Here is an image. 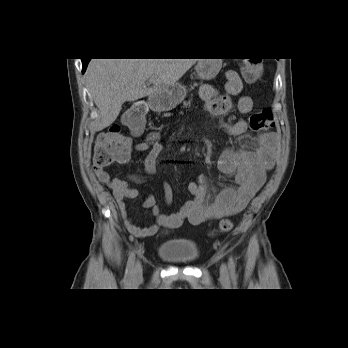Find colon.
<instances>
[{
    "label": "colon",
    "instance_id": "obj_1",
    "mask_svg": "<svg viewBox=\"0 0 348 348\" xmlns=\"http://www.w3.org/2000/svg\"><path fill=\"white\" fill-rule=\"evenodd\" d=\"M241 73L243 78L250 83L256 82L262 72L263 63L259 58L241 60ZM147 105L144 100H137L124 113L123 123L134 134H141L146 125ZM249 125L255 131H266L274 126L273 115L270 110H261L253 113L249 118ZM131 139L121 132L120 126L113 125L101 133L95 145L94 163L98 167H106L112 163L126 159L131 151ZM233 228L231 219H223L218 232L227 233Z\"/></svg>",
    "mask_w": 348,
    "mask_h": 348
}]
</instances>
